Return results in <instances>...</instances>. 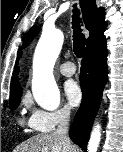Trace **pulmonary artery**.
I'll return each instance as SVG.
<instances>
[{
  "instance_id": "1",
  "label": "pulmonary artery",
  "mask_w": 123,
  "mask_h": 152,
  "mask_svg": "<svg viewBox=\"0 0 123 152\" xmlns=\"http://www.w3.org/2000/svg\"><path fill=\"white\" fill-rule=\"evenodd\" d=\"M59 71L64 76H72L76 71V67L72 62H65L59 66Z\"/></svg>"
}]
</instances>
